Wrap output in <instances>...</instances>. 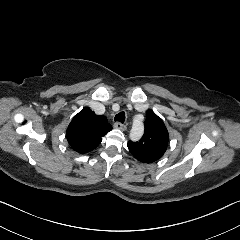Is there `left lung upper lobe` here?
Here are the masks:
<instances>
[{
  "label": "left lung upper lobe",
  "instance_id": "obj_1",
  "mask_svg": "<svg viewBox=\"0 0 240 240\" xmlns=\"http://www.w3.org/2000/svg\"><path fill=\"white\" fill-rule=\"evenodd\" d=\"M144 135L138 142L129 141L131 154L139 161L152 163L163 156L168 144V131L164 122L152 111L146 112Z\"/></svg>",
  "mask_w": 240,
  "mask_h": 240
}]
</instances>
